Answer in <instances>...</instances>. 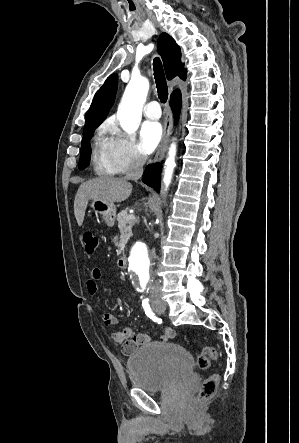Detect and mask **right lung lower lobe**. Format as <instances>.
Segmentation results:
<instances>
[{
	"label": "right lung lower lobe",
	"instance_id": "obj_1",
	"mask_svg": "<svg viewBox=\"0 0 299 443\" xmlns=\"http://www.w3.org/2000/svg\"><path fill=\"white\" fill-rule=\"evenodd\" d=\"M170 105L175 114V118H177L181 106V94L179 90H176L171 94ZM161 169L162 165L160 163L149 165L142 177V181L157 192L160 190Z\"/></svg>",
	"mask_w": 299,
	"mask_h": 443
}]
</instances>
